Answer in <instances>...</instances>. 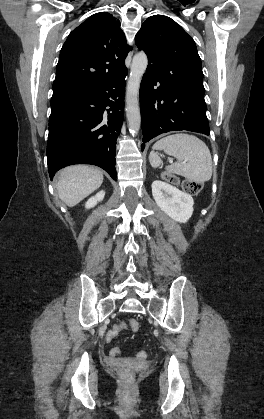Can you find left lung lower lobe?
<instances>
[{"instance_id": "0a47b994", "label": "left lung lower lobe", "mask_w": 264, "mask_h": 419, "mask_svg": "<svg viewBox=\"0 0 264 419\" xmlns=\"http://www.w3.org/2000/svg\"><path fill=\"white\" fill-rule=\"evenodd\" d=\"M204 92L203 83L187 86L177 79H164L148 67L140 85L142 151L145 142L169 131L187 130L209 135Z\"/></svg>"}]
</instances>
